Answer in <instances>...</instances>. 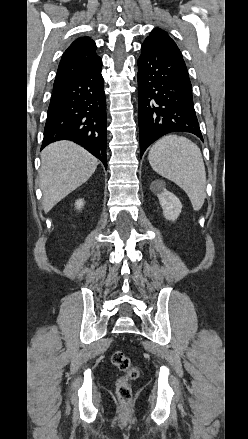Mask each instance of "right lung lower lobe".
<instances>
[{"instance_id":"right-lung-lower-lobe-1","label":"right lung lower lobe","mask_w":248,"mask_h":439,"mask_svg":"<svg viewBox=\"0 0 248 439\" xmlns=\"http://www.w3.org/2000/svg\"><path fill=\"white\" fill-rule=\"evenodd\" d=\"M102 62L53 86L41 149L58 140L81 145L107 168Z\"/></svg>"}]
</instances>
